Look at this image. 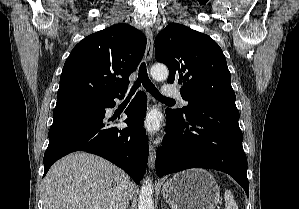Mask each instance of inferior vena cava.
I'll list each match as a JSON object with an SVG mask.
<instances>
[{
  "label": "inferior vena cava",
  "mask_w": 299,
  "mask_h": 209,
  "mask_svg": "<svg viewBox=\"0 0 299 209\" xmlns=\"http://www.w3.org/2000/svg\"><path fill=\"white\" fill-rule=\"evenodd\" d=\"M128 203H129V192H128V190H125L124 194L121 198L119 209H126V207L128 206Z\"/></svg>",
  "instance_id": "602c4592"
}]
</instances>
